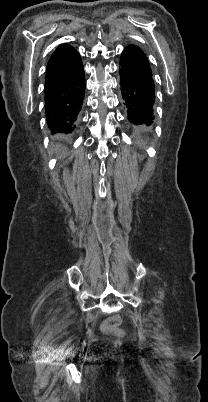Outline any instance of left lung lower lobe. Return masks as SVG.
I'll list each match as a JSON object with an SVG mask.
<instances>
[{"mask_svg":"<svg viewBox=\"0 0 208 402\" xmlns=\"http://www.w3.org/2000/svg\"><path fill=\"white\" fill-rule=\"evenodd\" d=\"M119 64L121 94L128 121L133 125H151L155 118V84L148 58L138 46L128 45Z\"/></svg>","mask_w":208,"mask_h":402,"instance_id":"0a47b994","label":"left lung lower lobe"}]
</instances>
